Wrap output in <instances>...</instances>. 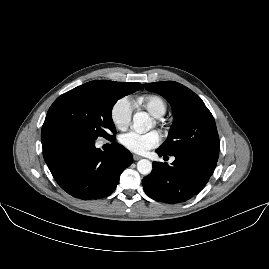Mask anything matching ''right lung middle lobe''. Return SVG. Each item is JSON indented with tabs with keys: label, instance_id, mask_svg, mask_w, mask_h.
Wrapping results in <instances>:
<instances>
[{
	"label": "right lung middle lobe",
	"instance_id": "right-lung-middle-lobe-1",
	"mask_svg": "<svg viewBox=\"0 0 269 269\" xmlns=\"http://www.w3.org/2000/svg\"><path fill=\"white\" fill-rule=\"evenodd\" d=\"M124 95L81 85L58 97L48 110L46 120L66 123L87 139L99 136L114 139L111 119L113 105Z\"/></svg>",
	"mask_w": 269,
	"mask_h": 269
}]
</instances>
